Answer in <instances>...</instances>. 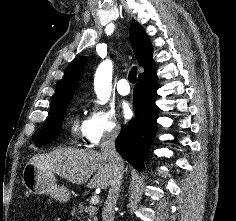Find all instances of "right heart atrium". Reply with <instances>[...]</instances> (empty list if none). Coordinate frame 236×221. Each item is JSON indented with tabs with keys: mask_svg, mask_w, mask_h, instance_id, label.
Returning a JSON list of instances; mask_svg holds the SVG:
<instances>
[{
	"mask_svg": "<svg viewBox=\"0 0 236 221\" xmlns=\"http://www.w3.org/2000/svg\"><path fill=\"white\" fill-rule=\"evenodd\" d=\"M120 129V124L112 110L94 103L90 104L82 130L83 140L87 146L95 148L104 141L116 138Z\"/></svg>",
	"mask_w": 236,
	"mask_h": 221,
	"instance_id": "1",
	"label": "right heart atrium"
}]
</instances>
